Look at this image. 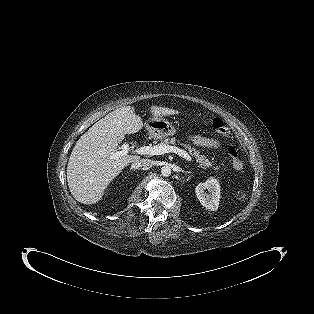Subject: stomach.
I'll return each instance as SVG.
<instances>
[{
  "instance_id": "stomach-1",
  "label": "stomach",
  "mask_w": 314,
  "mask_h": 314,
  "mask_svg": "<svg viewBox=\"0 0 314 314\" xmlns=\"http://www.w3.org/2000/svg\"><path fill=\"white\" fill-rule=\"evenodd\" d=\"M145 126L156 139H163L176 134V128L164 118H150Z\"/></svg>"
}]
</instances>
